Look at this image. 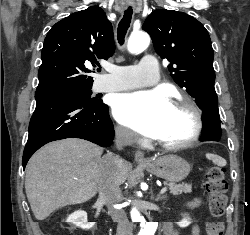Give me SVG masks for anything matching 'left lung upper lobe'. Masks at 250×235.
<instances>
[{"label": "left lung upper lobe", "mask_w": 250, "mask_h": 235, "mask_svg": "<svg viewBox=\"0 0 250 235\" xmlns=\"http://www.w3.org/2000/svg\"><path fill=\"white\" fill-rule=\"evenodd\" d=\"M142 28L158 55L171 62L168 69L175 82L186 88L199 108L217 106L214 53L206 28L186 13L166 9L153 11Z\"/></svg>", "instance_id": "1"}]
</instances>
